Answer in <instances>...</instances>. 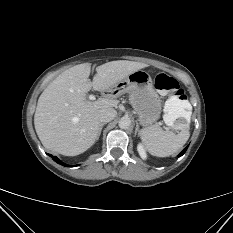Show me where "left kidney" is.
Returning a JSON list of instances; mask_svg holds the SVG:
<instances>
[{
  "label": "left kidney",
  "mask_w": 233,
  "mask_h": 233,
  "mask_svg": "<svg viewBox=\"0 0 233 233\" xmlns=\"http://www.w3.org/2000/svg\"><path fill=\"white\" fill-rule=\"evenodd\" d=\"M137 151H138V153H139V155H140V157L142 159L145 160L147 158L146 150H145L144 146L141 143L138 144Z\"/></svg>",
  "instance_id": "left-kidney-1"
}]
</instances>
